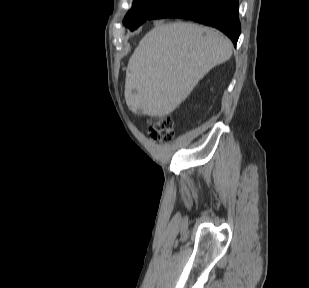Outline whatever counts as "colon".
Listing matches in <instances>:
<instances>
[{"label":"colon","mask_w":309,"mask_h":288,"mask_svg":"<svg viewBox=\"0 0 309 288\" xmlns=\"http://www.w3.org/2000/svg\"><path fill=\"white\" fill-rule=\"evenodd\" d=\"M148 133L155 142L167 143L174 136L173 121L170 117L161 116L147 121Z\"/></svg>","instance_id":"colon-1"}]
</instances>
